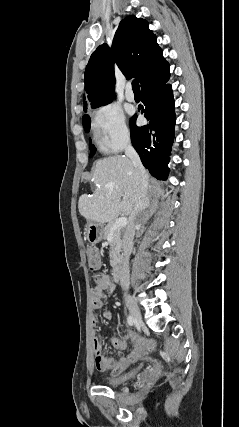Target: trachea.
<instances>
[{
	"label": "trachea",
	"mask_w": 239,
	"mask_h": 427,
	"mask_svg": "<svg viewBox=\"0 0 239 427\" xmlns=\"http://www.w3.org/2000/svg\"><path fill=\"white\" fill-rule=\"evenodd\" d=\"M132 89L134 92L140 93V85L138 80L135 79L132 81Z\"/></svg>",
	"instance_id": "trachea-1"
}]
</instances>
